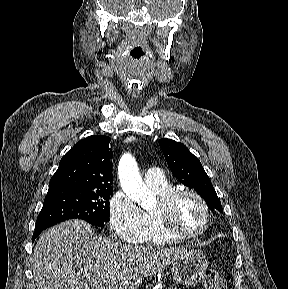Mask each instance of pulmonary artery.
<instances>
[{
  "label": "pulmonary artery",
  "instance_id": "pulmonary-artery-1",
  "mask_svg": "<svg viewBox=\"0 0 288 289\" xmlns=\"http://www.w3.org/2000/svg\"><path fill=\"white\" fill-rule=\"evenodd\" d=\"M145 183L149 187H160L167 183L164 172L160 168H150L144 174Z\"/></svg>",
  "mask_w": 288,
  "mask_h": 289
}]
</instances>
